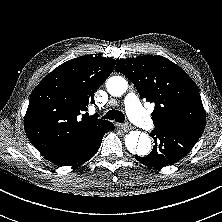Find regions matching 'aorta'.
I'll return each instance as SVG.
<instances>
[{
  "label": "aorta",
  "mask_w": 222,
  "mask_h": 222,
  "mask_svg": "<svg viewBox=\"0 0 222 222\" xmlns=\"http://www.w3.org/2000/svg\"><path fill=\"white\" fill-rule=\"evenodd\" d=\"M106 87L109 94L119 97L126 92L128 82L121 76H112L107 80ZM125 145L130 153L146 156L151 150V139L145 133L131 132L125 138Z\"/></svg>",
  "instance_id": "762f6f07"
}]
</instances>
